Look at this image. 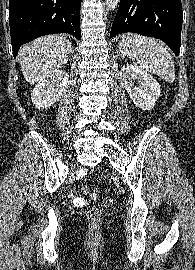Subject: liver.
<instances>
[{"label":"liver","mask_w":195,"mask_h":270,"mask_svg":"<svg viewBox=\"0 0 195 270\" xmlns=\"http://www.w3.org/2000/svg\"><path fill=\"white\" fill-rule=\"evenodd\" d=\"M72 52L68 39L48 35L24 45L20 49L18 61L26 81L34 84L62 68Z\"/></svg>","instance_id":"obj_1"}]
</instances>
